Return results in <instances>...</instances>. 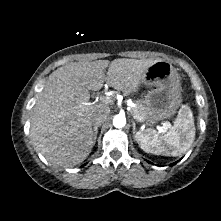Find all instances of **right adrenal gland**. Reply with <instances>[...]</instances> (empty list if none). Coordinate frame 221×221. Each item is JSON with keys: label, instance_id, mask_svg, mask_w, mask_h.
I'll list each match as a JSON object with an SVG mask.
<instances>
[{"label": "right adrenal gland", "instance_id": "right-adrenal-gland-1", "mask_svg": "<svg viewBox=\"0 0 221 221\" xmlns=\"http://www.w3.org/2000/svg\"><path fill=\"white\" fill-rule=\"evenodd\" d=\"M98 127H100V125H95L94 126V129H93V134H94V144L96 142V139H97V134H98Z\"/></svg>", "mask_w": 221, "mask_h": 221}]
</instances>
